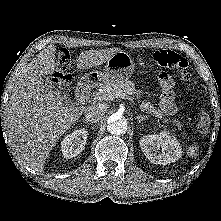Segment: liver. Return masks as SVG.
Wrapping results in <instances>:
<instances>
[{
	"label": "liver",
	"instance_id": "liver-1",
	"mask_svg": "<svg viewBox=\"0 0 221 221\" xmlns=\"http://www.w3.org/2000/svg\"><path fill=\"white\" fill-rule=\"evenodd\" d=\"M119 51L122 50L112 48L81 52L77 68L97 67ZM55 53V46H48L21 71L4 119L15 157L36 171L43 170L50 150L86 110L84 106L69 108L45 89L43 78L56 70Z\"/></svg>",
	"mask_w": 221,
	"mask_h": 221
}]
</instances>
